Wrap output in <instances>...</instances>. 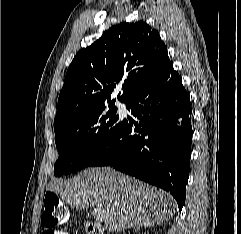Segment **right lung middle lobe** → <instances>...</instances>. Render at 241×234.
Wrapping results in <instances>:
<instances>
[{
    "label": "right lung middle lobe",
    "instance_id": "dd1d6c3e",
    "mask_svg": "<svg viewBox=\"0 0 241 234\" xmlns=\"http://www.w3.org/2000/svg\"><path fill=\"white\" fill-rule=\"evenodd\" d=\"M114 103L102 106L77 123L55 131L59 158L54 175L59 177L81 170L104 150L117 131L121 120Z\"/></svg>",
    "mask_w": 241,
    "mask_h": 234
}]
</instances>
